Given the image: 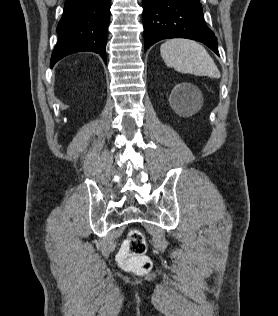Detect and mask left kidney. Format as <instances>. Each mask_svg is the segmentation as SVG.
<instances>
[{
  "label": "left kidney",
  "instance_id": "left-kidney-1",
  "mask_svg": "<svg viewBox=\"0 0 278 316\" xmlns=\"http://www.w3.org/2000/svg\"><path fill=\"white\" fill-rule=\"evenodd\" d=\"M200 95L199 89L190 83H180L175 86L170 101L174 108L181 109L193 105Z\"/></svg>",
  "mask_w": 278,
  "mask_h": 316
}]
</instances>
